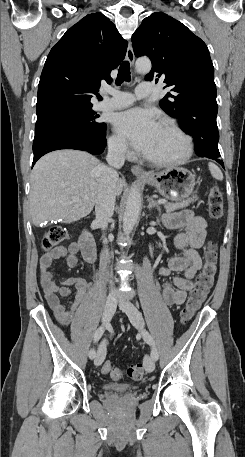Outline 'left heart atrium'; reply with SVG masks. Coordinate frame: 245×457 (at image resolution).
I'll return each mask as SVG.
<instances>
[{
	"mask_svg": "<svg viewBox=\"0 0 245 457\" xmlns=\"http://www.w3.org/2000/svg\"><path fill=\"white\" fill-rule=\"evenodd\" d=\"M114 125L116 131L140 151L152 142L160 128L153 113L142 108H133L119 113Z\"/></svg>",
	"mask_w": 245,
	"mask_h": 457,
	"instance_id": "left-heart-atrium-1",
	"label": "left heart atrium"
}]
</instances>
